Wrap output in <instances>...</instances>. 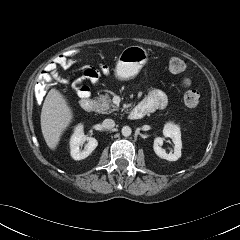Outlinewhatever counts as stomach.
Instances as JSON below:
<instances>
[{
  "label": "stomach",
  "mask_w": 240,
  "mask_h": 240,
  "mask_svg": "<svg viewBox=\"0 0 240 240\" xmlns=\"http://www.w3.org/2000/svg\"><path fill=\"white\" fill-rule=\"evenodd\" d=\"M148 61V53L143 47H126L119 55L115 76L120 80L134 78Z\"/></svg>",
  "instance_id": "stomach-1"
}]
</instances>
